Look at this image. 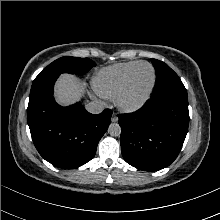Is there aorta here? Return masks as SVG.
<instances>
[{
    "label": "aorta",
    "mask_w": 220,
    "mask_h": 220,
    "mask_svg": "<svg viewBox=\"0 0 220 220\" xmlns=\"http://www.w3.org/2000/svg\"><path fill=\"white\" fill-rule=\"evenodd\" d=\"M108 133L111 136H119L121 134V127L118 123H112L110 124L108 128Z\"/></svg>",
    "instance_id": "762f6f07"
}]
</instances>
